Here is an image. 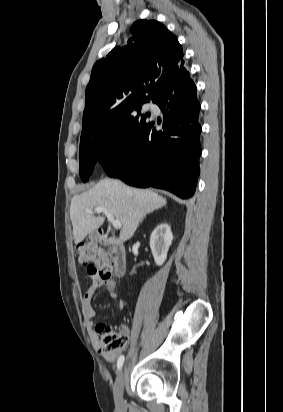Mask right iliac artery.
<instances>
[{"mask_svg": "<svg viewBox=\"0 0 283 412\" xmlns=\"http://www.w3.org/2000/svg\"><path fill=\"white\" fill-rule=\"evenodd\" d=\"M123 363H124V355H121V356L118 358V361H117V369H118V370L121 369Z\"/></svg>", "mask_w": 283, "mask_h": 412, "instance_id": "obj_1", "label": "right iliac artery"}]
</instances>
